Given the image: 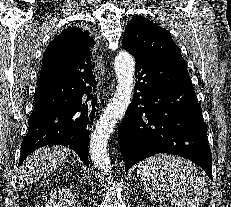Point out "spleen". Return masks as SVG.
<instances>
[{
	"label": "spleen",
	"mask_w": 231,
	"mask_h": 207,
	"mask_svg": "<svg viewBox=\"0 0 231 207\" xmlns=\"http://www.w3.org/2000/svg\"><path fill=\"white\" fill-rule=\"evenodd\" d=\"M137 176L150 197L168 200L175 207H196L208 196L205 179L190 161L169 155L152 156L137 168Z\"/></svg>",
	"instance_id": "obj_1"
}]
</instances>
